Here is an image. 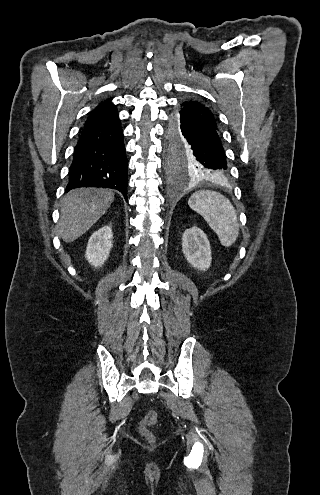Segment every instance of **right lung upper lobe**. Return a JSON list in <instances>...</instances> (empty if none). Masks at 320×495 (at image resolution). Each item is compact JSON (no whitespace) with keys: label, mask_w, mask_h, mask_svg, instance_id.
<instances>
[{"label":"right lung upper lobe","mask_w":320,"mask_h":495,"mask_svg":"<svg viewBox=\"0 0 320 495\" xmlns=\"http://www.w3.org/2000/svg\"><path fill=\"white\" fill-rule=\"evenodd\" d=\"M112 99L113 98L105 99L89 113L84 128L119 119L117 107L111 102Z\"/></svg>","instance_id":"1"}]
</instances>
